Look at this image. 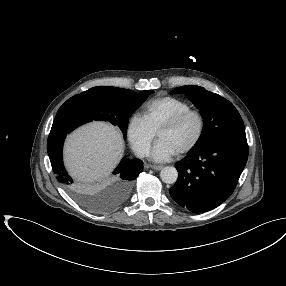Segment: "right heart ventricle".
<instances>
[{
  "mask_svg": "<svg viewBox=\"0 0 286 286\" xmlns=\"http://www.w3.org/2000/svg\"><path fill=\"white\" fill-rule=\"evenodd\" d=\"M190 108V104L182 99L164 96L147 102L142 116L156 133L164 122Z\"/></svg>",
  "mask_w": 286,
  "mask_h": 286,
  "instance_id": "e07e8e85",
  "label": "right heart ventricle"
}]
</instances>
